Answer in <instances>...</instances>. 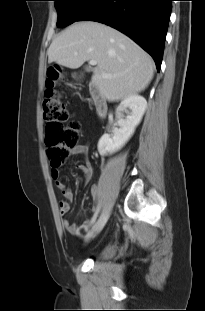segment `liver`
Instances as JSON below:
<instances>
[{
    "label": "liver",
    "mask_w": 205,
    "mask_h": 311,
    "mask_svg": "<svg viewBox=\"0 0 205 311\" xmlns=\"http://www.w3.org/2000/svg\"><path fill=\"white\" fill-rule=\"evenodd\" d=\"M48 62L77 69L97 61L92 83L108 101L143 91L153 78V59L123 33L94 21L76 22L51 43ZM110 77H103L102 73Z\"/></svg>",
    "instance_id": "obj_1"
}]
</instances>
